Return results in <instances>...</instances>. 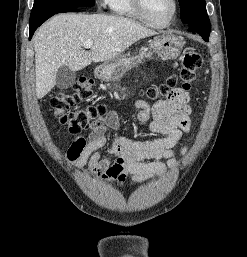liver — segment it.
I'll use <instances>...</instances> for the list:
<instances>
[{
    "mask_svg": "<svg viewBox=\"0 0 247 257\" xmlns=\"http://www.w3.org/2000/svg\"><path fill=\"white\" fill-rule=\"evenodd\" d=\"M156 34L121 16L60 14L53 17L34 36L37 98H43L53 89L61 66L75 72L92 62L112 60L140 39ZM86 40L93 41L89 51L83 49Z\"/></svg>",
    "mask_w": 247,
    "mask_h": 257,
    "instance_id": "6515ba94",
    "label": "liver"
}]
</instances>
